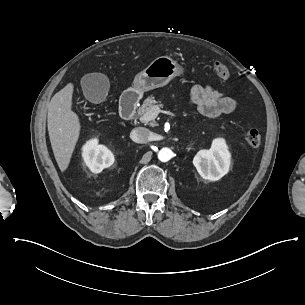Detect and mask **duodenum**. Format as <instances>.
<instances>
[{
    "label": "duodenum",
    "mask_w": 305,
    "mask_h": 305,
    "mask_svg": "<svg viewBox=\"0 0 305 305\" xmlns=\"http://www.w3.org/2000/svg\"><path fill=\"white\" fill-rule=\"evenodd\" d=\"M140 96L135 91H128L120 98V113L126 120H130L135 115V110L139 103Z\"/></svg>",
    "instance_id": "duodenum-1"
}]
</instances>
